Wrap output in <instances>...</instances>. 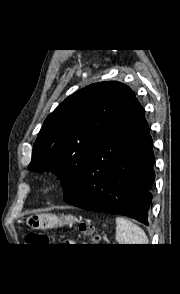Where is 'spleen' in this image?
<instances>
[{"label":"spleen","mask_w":180,"mask_h":294,"mask_svg":"<svg viewBox=\"0 0 180 294\" xmlns=\"http://www.w3.org/2000/svg\"><path fill=\"white\" fill-rule=\"evenodd\" d=\"M115 238L119 244H148L145 232L138 225L121 216L116 217Z\"/></svg>","instance_id":"1"}]
</instances>
